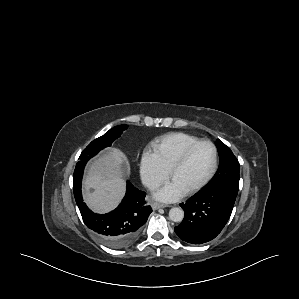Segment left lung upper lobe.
Here are the masks:
<instances>
[{"label": "left lung upper lobe", "mask_w": 299, "mask_h": 299, "mask_svg": "<svg viewBox=\"0 0 299 299\" xmlns=\"http://www.w3.org/2000/svg\"><path fill=\"white\" fill-rule=\"evenodd\" d=\"M219 152L220 164L214 178L206 186L212 187H227L235 191L239 189V162L234 156L229 147L221 140L216 141Z\"/></svg>", "instance_id": "5c2ea615"}]
</instances>
